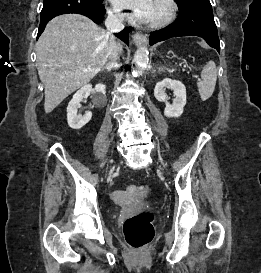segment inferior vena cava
I'll use <instances>...</instances> for the list:
<instances>
[{
	"label": "inferior vena cava",
	"mask_w": 261,
	"mask_h": 273,
	"mask_svg": "<svg viewBox=\"0 0 261 273\" xmlns=\"http://www.w3.org/2000/svg\"><path fill=\"white\" fill-rule=\"evenodd\" d=\"M105 26L108 30L107 33L110 36V49L107 65L113 68L117 66V60L120 53V45L116 42L113 33L120 32L124 29L123 17L119 14L113 13L112 11H108Z\"/></svg>",
	"instance_id": "obj_1"
}]
</instances>
